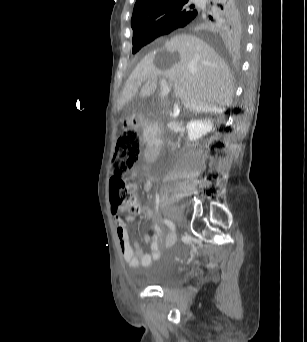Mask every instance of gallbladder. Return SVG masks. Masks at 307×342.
I'll list each match as a JSON object with an SVG mask.
<instances>
[{"label": "gallbladder", "instance_id": "1", "mask_svg": "<svg viewBox=\"0 0 307 342\" xmlns=\"http://www.w3.org/2000/svg\"><path fill=\"white\" fill-rule=\"evenodd\" d=\"M171 111H172V114H171V115H172L173 118H178V117H179V115H180V114H179V111H180V110H179L178 107H173Z\"/></svg>", "mask_w": 307, "mask_h": 342}]
</instances>
